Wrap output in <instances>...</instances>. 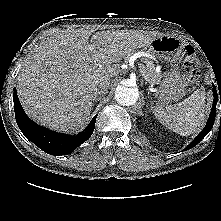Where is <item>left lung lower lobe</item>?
Returning a JSON list of instances; mask_svg holds the SVG:
<instances>
[{"label":"left lung lower lobe","mask_w":221,"mask_h":221,"mask_svg":"<svg viewBox=\"0 0 221 221\" xmlns=\"http://www.w3.org/2000/svg\"><path fill=\"white\" fill-rule=\"evenodd\" d=\"M213 94H214V101H213L212 110H211L209 119L207 121V124L205 128L200 132V134L187 146L185 150L195 147L212 129L215 116H216V104L219 98H220V103H221V89L219 88V92H217L216 87L213 85Z\"/></svg>","instance_id":"left-lung-lower-lobe-1"}]
</instances>
